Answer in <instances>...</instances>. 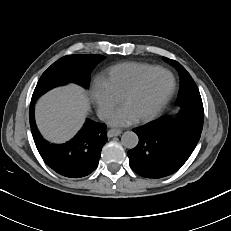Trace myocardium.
I'll use <instances>...</instances> for the list:
<instances>
[{"instance_id":"myocardium-1","label":"myocardium","mask_w":231,"mask_h":231,"mask_svg":"<svg viewBox=\"0 0 231 231\" xmlns=\"http://www.w3.org/2000/svg\"><path fill=\"white\" fill-rule=\"evenodd\" d=\"M161 72L168 73L171 76V78H172L171 89L168 92V94L165 96V98L162 100L160 105L157 107L156 110H154L152 113H150V114H148L146 116L138 118V120L140 122H148V121H151V120L155 119L165 109V107L168 105V103L172 99L173 95L175 94L176 86H177V82H176V78H175L174 74L168 69L157 68V69L149 72L148 74L144 75L142 78H140L130 89L127 90V92L122 97V102L125 103L128 98H130L132 95H134L139 90H141L142 87L152 77H154L156 74L161 73Z\"/></svg>"}]
</instances>
